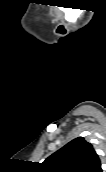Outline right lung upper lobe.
<instances>
[{"label":"right lung upper lobe","mask_w":106,"mask_h":172,"mask_svg":"<svg viewBox=\"0 0 106 172\" xmlns=\"http://www.w3.org/2000/svg\"><path fill=\"white\" fill-rule=\"evenodd\" d=\"M46 172H103L93 146L78 137L49 156L42 165Z\"/></svg>","instance_id":"obj_1"}]
</instances>
